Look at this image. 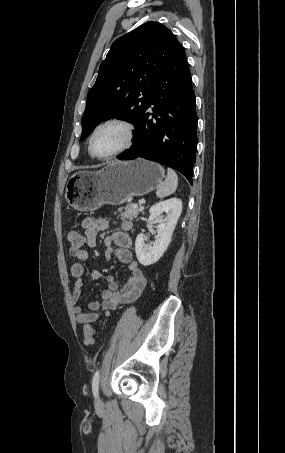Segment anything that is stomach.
I'll return each mask as SVG.
<instances>
[{"mask_svg": "<svg viewBox=\"0 0 285 453\" xmlns=\"http://www.w3.org/2000/svg\"><path fill=\"white\" fill-rule=\"evenodd\" d=\"M164 177V168L155 162L141 158L112 162L96 172L72 174L66 199L78 211H94L104 204L121 205L129 198L155 190Z\"/></svg>", "mask_w": 285, "mask_h": 453, "instance_id": "obj_1", "label": "stomach"}]
</instances>
